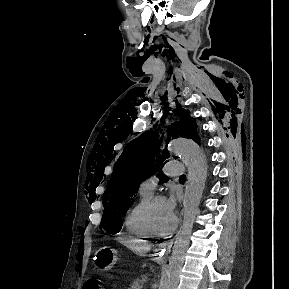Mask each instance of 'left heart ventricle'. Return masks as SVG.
<instances>
[{
  "instance_id": "obj_1",
  "label": "left heart ventricle",
  "mask_w": 289,
  "mask_h": 289,
  "mask_svg": "<svg viewBox=\"0 0 289 289\" xmlns=\"http://www.w3.org/2000/svg\"><path fill=\"white\" fill-rule=\"evenodd\" d=\"M152 219L155 227L159 230H165L171 225L173 217L169 214L166 208L165 199L158 200L154 204Z\"/></svg>"
}]
</instances>
